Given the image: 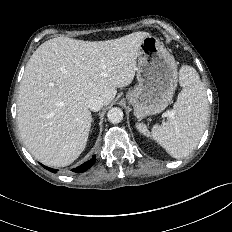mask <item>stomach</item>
<instances>
[{"label": "stomach", "instance_id": "obj_1", "mask_svg": "<svg viewBox=\"0 0 232 232\" xmlns=\"http://www.w3.org/2000/svg\"><path fill=\"white\" fill-rule=\"evenodd\" d=\"M136 77L138 84L126 98L134 115L143 118L162 112L172 101L178 83L177 63L155 36L140 44Z\"/></svg>", "mask_w": 232, "mask_h": 232}]
</instances>
